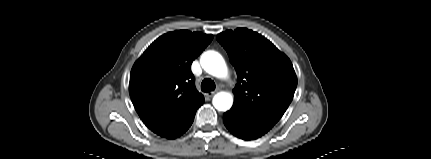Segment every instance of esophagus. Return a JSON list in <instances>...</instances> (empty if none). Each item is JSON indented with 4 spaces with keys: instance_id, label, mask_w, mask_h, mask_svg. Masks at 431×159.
<instances>
[{
    "instance_id": "1",
    "label": "esophagus",
    "mask_w": 431,
    "mask_h": 159,
    "mask_svg": "<svg viewBox=\"0 0 431 159\" xmlns=\"http://www.w3.org/2000/svg\"><path fill=\"white\" fill-rule=\"evenodd\" d=\"M217 91H218V90L208 92V93L206 94V96H208V97H212V96H213Z\"/></svg>"
}]
</instances>
